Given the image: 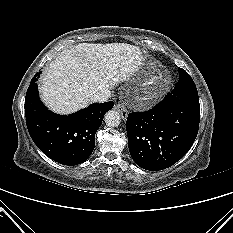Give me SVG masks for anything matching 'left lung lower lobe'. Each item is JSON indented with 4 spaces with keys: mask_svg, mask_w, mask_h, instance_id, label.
Returning a JSON list of instances; mask_svg holds the SVG:
<instances>
[{
    "mask_svg": "<svg viewBox=\"0 0 233 233\" xmlns=\"http://www.w3.org/2000/svg\"><path fill=\"white\" fill-rule=\"evenodd\" d=\"M199 122L198 93L182 97L168 93L154 108L129 113L126 129L130 155L143 169L168 168L189 151Z\"/></svg>",
    "mask_w": 233,
    "mask_h": 233,
    "instance_id": "obj_1",
    "label": "left lung lower lobe"
}]
</instances>
